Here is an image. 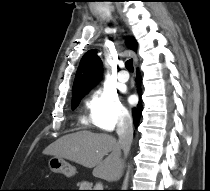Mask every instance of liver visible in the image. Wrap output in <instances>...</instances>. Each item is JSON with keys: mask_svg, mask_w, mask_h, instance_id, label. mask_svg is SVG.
<instances>
[{"mask_svg": "<svg viewBox=\"0 0 210 191\" xmlns=\"http://www.w3.org/2000/svg\"><path fill=\"white\" fill-rule=\"evenodd\" d=\"M44 154L94 168L95 176L109 182L121 177V149L116 138L108 134L87 130L67 134L50 144Z\"/></svg>", "mask_w": 210, "mask_h": 191, "instance_id": "1", "label": "liver"}]
</instances>
